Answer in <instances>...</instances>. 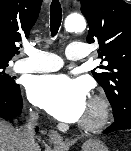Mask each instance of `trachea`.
I'll list each match as a JSON object with an SVG mask.
<instances>
[{"label":"trachea","mask_w":131,"mask_h":151,"mask_svg":"<svg viewBox=\"0 0 131 151\" xmlns=\"http://www.w3.org/2000/svg\"><path fill=\"white\" fill-rule=\"evenodd\" d=\"M62 20V9L59 0H53L50 8V30L55 36L59 30Z\"/></svg>","instance_id":"3493384b"}]
</instances>
